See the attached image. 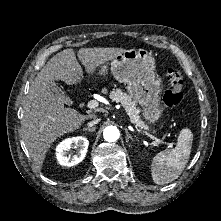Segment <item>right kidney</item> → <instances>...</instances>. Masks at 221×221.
I'll list each match as a JSON object with an SVG mask.
<instances>
[{
  "instance_id": "1",
  "label": "right kidney",
  "mask_w": 221,
  "mask_h": 221,
  "mask_svg": "<svg viewBox=\"0 0 221 221\" xmlns=\"http://www.w3.org/2000/svg\"><path fill=\"white\" fill-rule=\"evenodd\" d=\"M88 146L89 141L85 137L67 138L56 147L57 161L63 166H74L85 158ZM71 148H77L76 154L72 155L69 153Z\"/></svg>"
}]
</instances>
